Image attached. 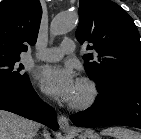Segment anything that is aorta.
I'll return each instance as SVG.
<instances>
[{
  "label": "aorta",
  "mask_w": 141,
  "mask_h": 139,
  "mask_svg": "<svg viewBox=\"0 0 141 139\" xmlns=\"http://www.w3.org/2000/svg\"><path fill=\"white\" fill-rule=\"evenodd\" d=\"M77 16L75 14L57 15L51 23L50 32L53 36L63 35L75 28Z\"/></svg>",
  "instance_id": "obj_1"
}]
</instances>
